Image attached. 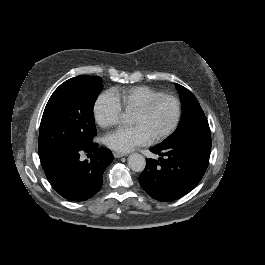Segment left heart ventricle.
I'll return each mask as SVG.
<instances>
[{
  "mask_svg": "<svg viewBox=\"0 0 265 265\" xmlns=\"http://www.w3.org/2000/svg\"><path fill=\"white\" fill-rule=\"evenodd\" d=\"M174 114V104L169 100L161 99L147 113L140 114L135 112L134 123L143 125L153 138L170 125Z\"/></svg>",
  "mask_w": 265,
  "mask_h": 265,
  "instance_id": "b2bd125f",
  "label": "left heart ventricle"
}]
</instances>
